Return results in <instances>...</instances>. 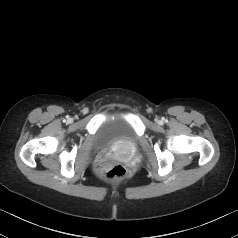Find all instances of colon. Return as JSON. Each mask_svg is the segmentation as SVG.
<instances>
[{"label": "colon", "mask_w": 238, "mask_h": 238, "mask_svg": "<svg viewBox=\"0 0 238 238\" xmlns=\"http://www.w3.org/2000/svg\"><path fill=\"white\" fill-rule=\"evenodd\" d=\"M101 176L105 180L120 181L127 176V169L122 164H112L103 169Z\"/></svg>", "instance_id": "obj_1"}]
</instances>
